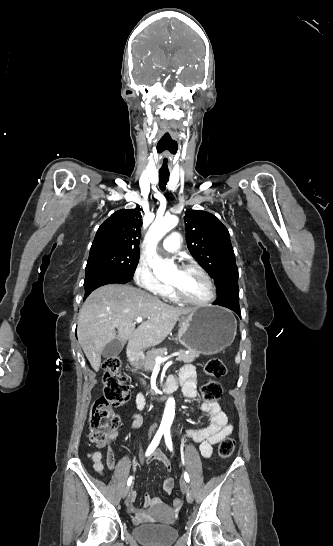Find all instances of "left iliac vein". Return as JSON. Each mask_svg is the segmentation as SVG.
<instances>
[{
    "mask_svg": "<svg viewBox=\"0 0 333 546\" xmlns=\"http://www.w3.org/2000/svg\"><path fill=\"white\" fill-rule=\"evenodd\" d=\"M182 488H183V490L186 492V499H187V501H188L189 503H192V501H193V492H192V490L190 489V487H189L186 483H184V484L182 485Z\"/></svg>",
    "mask_w": 333,
    "mask_h": 546,
    "instance_id": "obj_1",
    "label": "left iliac vein"
}]
</instances>
